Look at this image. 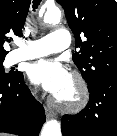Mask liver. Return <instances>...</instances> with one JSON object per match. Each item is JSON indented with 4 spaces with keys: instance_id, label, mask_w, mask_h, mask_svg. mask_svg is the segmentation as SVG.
<instances>
[{
    "instance_id": "6515ba94",
    "label": "liver",
    "mask_w": 117,
    "mask_h": 136,
    "mask_svg": "<svg viewBox=\"0 0 117 136\" xmlns=\"http://www.w3.org/2000/svg\"><path fill=\"white\" fill-rule=\"evenodd\" d=\"M0 136H7V135H5V134H1V133H0Z\"/></svg>"
}]
</instances>
